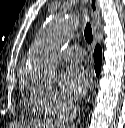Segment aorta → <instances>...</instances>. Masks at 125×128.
I'll list each match as a JSON object with an SVG mask.
<instances>
[{"label":"aorta","instance_id":"aorta-1","mask_svg":"<svg viewBox=\"0 0 125 128\" xmlns=\"http://www.w3.org/2000/svg\"><path fill=\"white\" fill-rule=\"evenodd\" d=\"M77 22L64 16L53 17L36 36L29 62L37 80L51 82L57 78L60 50L73 36Z\"/></svg>","mask_w":125,"mask_h":128}]
</instances>
